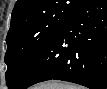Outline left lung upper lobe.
Here are the masks:
<instances>
[{
  "mask_svg": "<svg viewBox=\"0 0 107 89\" xmlns=\"http://www.w3.org/2000/svg\"><path fill=\"white\" fill-rule=\"evenodd\" d=\"M85 0H17L7 34L6 84L14 87L58 29Z\"/></svg>",
  "mask_w": 107,
  "mask_h": 89,
  "instance_id": "obj_1",
  "label": "left lung upper lobe"
}]
</instances>
